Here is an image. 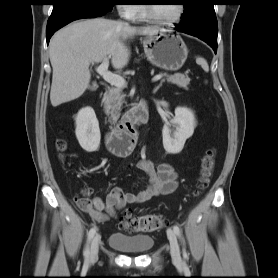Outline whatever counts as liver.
Listing matches in <instances>:
<instances>
[{
  "mask_svg": "<svg viewBox=\"0 0 278 278\" xmlns=\"http://www.w3.org/2000/svg\"><path fill=\"white\" fill-rule=\"evenodd\" d=\"M158 27H132L104 18L72 23L54 34L49 45L53 69L50 101L53 107L79 98L89 87L91 63L110 57L114 69L124 68L130 57L125 45L134 35L153 36Z\"/></svg>",
  "mask_w": 278,
  "mask_h": 278,
  "instance_id": "6515ba94",
  "label": "liver"
}]
</instances>
